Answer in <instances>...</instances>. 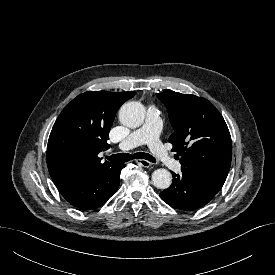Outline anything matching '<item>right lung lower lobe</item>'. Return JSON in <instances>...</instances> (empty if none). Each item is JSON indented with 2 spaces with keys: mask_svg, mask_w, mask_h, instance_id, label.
<instances>
[{
  "mask_svg": "<svg viewBox=\"0 0 275 275\" xmlns=\"http://www.w3.org/2000/svg\"><path fill=\"white\" fill-rule=\"evenodd\" d=\"M125 164L112 165L85 179L58 187L73 206L88 210L104 204L118 189L119 176Z\"/></svg>",
  "mask_w": 275,
  "mask_h": 275,
  "instance_id": "1",
  "label": "right lung lower lobe"
}]
</instances>
